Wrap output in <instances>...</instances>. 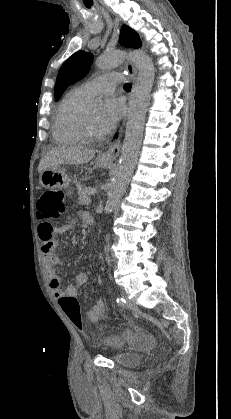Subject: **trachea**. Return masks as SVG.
I'll return each instance as SVG.
<instances>
[{
	"label": "trachea",
	"mask_w": 231,
	"mask_h": 419,
	"mask_svg": "<svg viewBox=\"0 0 231 419\" xmlns=\"http://www.w3.org/2000/svg\"><path fill=\"white\" fill-rule=\"evenodd\" d=\"M124 88H125L126 90H131V84H130V83H126V84L124 85Z\"/></svg>",
	"instance_id": "3493384b"
}]
</instances>
